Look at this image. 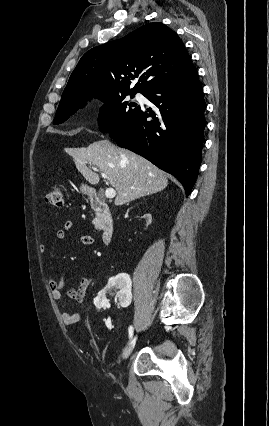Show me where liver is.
Instances as JSON below:
<instances>
[{"label": "liver", "mask_w": 269, "mask_h": 426, "mask_svg": "<svg viewBox=\"0 0 269 426\" xmlns=\"http://www.w3.org/2000/svg\"><path fill=\"white\" fill-rule=\"evenodd\" d=\"M78 171L92 185L100 178L87 164L99 168L116 189L115 205L121 206L143 196L165 189L168 179L165 172L143 157L116 147L109 140L93 142L88 147L69 150Z\"/></svg>", "instance_id": "1"}]
</instances>
